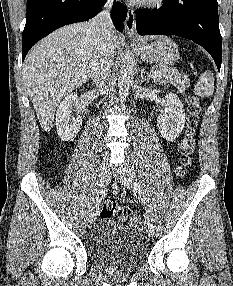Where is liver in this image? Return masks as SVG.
I'll return each instance as SVG.
<instances>
[{"instance_id":"obj_1","label":"liver","mask_w":233,"mask_h":286,"mask_svg":"<svg viewBox=\"0 0 233 286\" xmlns=\"http://www.w3.org/2000/svg\"><path fill=\"white\" fill-rule=\"evenodd\" d=\"M96 37L91 22L76 23L54 31L27 54L23 79L45 131L52 128L61 99L91 77ZM120 41L112 27L114 49Z\"/></svg>"}]
</instances>
